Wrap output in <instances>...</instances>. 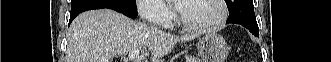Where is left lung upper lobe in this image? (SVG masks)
<instances>
[{
  "label": "left lung upper lobe",
  "instance_id": "5c2ea615",
  "mask_svg": "<svg viewBox=\"0 0 331 62\" xmlns=\"http://www.w3.org/2000/svg\"><path fill=\"white\" fill-rule=\"evenodd\" d=\"M229 9L228 23L242 24L259 31L253 0H226Z\"/></svg>",
  "mask_w": 331,
  "mask_h": 62
}]
</instances>
